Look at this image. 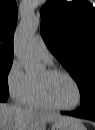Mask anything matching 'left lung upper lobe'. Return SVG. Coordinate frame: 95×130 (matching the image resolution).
<instances>
[{"label":"left lung upper lobe","mask_w":95,"mask_h":130,"mask_svg":"<svg viewBox=\"0 0 95 130\" xmlns=\"http://www.w3.org/2000/svg\"><path fill=\"white\" fill-rule=\"evenodd\" d=\"M41 17V35L76 80L83 104L95 96V8L87 0H50Z\"/></svg>","instance_id":"5c2ea615"}]
</instances>
